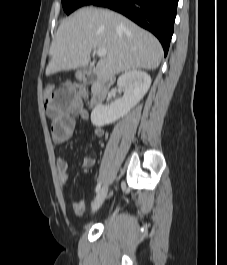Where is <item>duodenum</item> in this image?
<instances>
[{"label":"duodenum","instance_id":"obj_1","mask_svg":"<svg viewBox=\"0 0 227 265\" xmlns=\"http://www.w3.org/2000/svg\"><path fill=\"white\" fill-rule=\"evenodd\" d=\"M80 77L83 81L93 84L90 106L92 108L99 106L107 96L111 86V80L105 76H95L89 72L82 73Z\"/></svg>","mask_w":227,"mask_h":265}]
</instances>
